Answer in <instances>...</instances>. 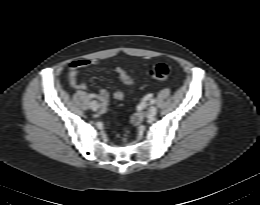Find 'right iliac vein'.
<instances>
[{"label": "right iliac vein", "mask_w": 260, "mask_h": 205, "mask_svg": "<svg viewBox=\"0 0 260 205\" xmlns=\"http://www.w3.org/2000/svg\"><path fill=\"white\" fill-rule=\"evenodd\" d=\"M90 108L93 111H97L99 109V104L97 103V101L93 100L90 102Z\"/></svg>", "instance_id": "right-iliac-vein-1"}]
</instances>
